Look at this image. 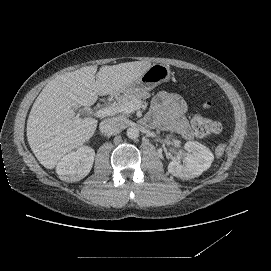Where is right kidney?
I'll return each instance as SVG.
<instances>
[{
    "label": "right kidney",
    "instance_id": "1",
    "mask_svg": "<svg viewBox=\"0 0 271 271\" xmlns=\"http://www.w3.org/2000/svg\"><path fill=\"white\" fill-rule=\"evenodd\" d=\"M94 149L88 145L70 151L57 162L55 172L65 182H77L91 170L94 162Z\"/></svg>",
    "mask_w": 271,
    "mask_h": 271
}]
</instances>
